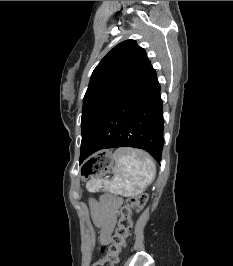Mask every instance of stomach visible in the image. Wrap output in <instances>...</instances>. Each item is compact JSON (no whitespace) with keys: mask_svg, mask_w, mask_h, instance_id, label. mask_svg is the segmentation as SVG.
I'll return each mask as SVG.
<instances>
[{"mask_svg":"<svg viewBox=\"0 0 233 266\" xmlns=\"http://www.w3.org/2000/svg\"><path fill=\"white\" fill-rule=\"evenodd\" d=\"M113 147H102V152H92L90 161H85V166H115L117 156H111ZM106 172V167H80L82 180H87V185H92V180H97V176H102Z\"/></svg>","mask_w":233,"mask_h":266,"instance_id":"stomach-1","label":"stomach"}]
</instances>
